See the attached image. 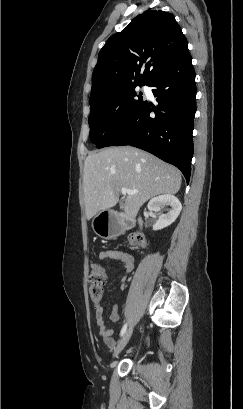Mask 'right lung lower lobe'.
I'll return each instance as SVG.
<instances>
[{
	"label": "right lung lower lobe",
	"instance_id": "right-lung-lower-lobe-1",
	"mask_svg": "<svg viewBox=\"0 0 243 409\" xmlns=\"http://www.w3.org/2000/svg\"><path fill=\"white\" fill-rule=\"evenodd\" d=\"M149 86L154 88L157 109L144 101L108 146L131 145L150 152L179 168L188 184L196 112L195 72L188 46Z\"/></svg>",
	"mask_w": 243,
	"mask_h": 409
}]
</instances>
